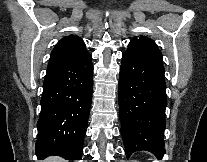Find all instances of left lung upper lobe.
<instances>
[{
	"label": "left lung upper lobe",
	"mask_w": 207,
	"mask_h": 162,
	"mask_svg": "<svg viewBox=\"0 0 207 162\" xmlns=\"http://www.w3.org/2000/svg\"><path fill=\"white\" fill-rule=\"evenodd\" d=\"M126 53H131L136 56L155 60L161 63L163 61L162 54L155 42L144 36L134 37L130 41Z\"/></svg>",
	"instance_id": "1"
}]
</instances>
